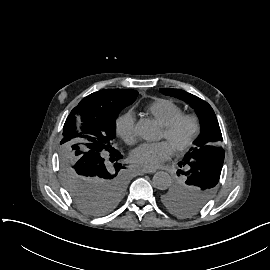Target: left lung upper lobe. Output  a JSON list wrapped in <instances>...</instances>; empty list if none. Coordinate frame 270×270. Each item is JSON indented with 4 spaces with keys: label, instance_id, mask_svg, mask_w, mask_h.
<instances>
[{
    "label": "left lung upper lobe",
    "instance_id": "left-lung-upper-lobe-1",
    "mask_svg": "<svg viewBox=\"0 0 270 270\" xmlns=\"http://www.w3.org/2000/svg\"><path fill=\"white\" fill-rule=\"evenodd\" d=\"M160 92L187 102L200 121V134L194 146L179 163L180 177L161 192L160 201L170 212L190 217L198 214L210 201L218 184L224 150L222 134L212 107L199 97L181 89L161 88Z\"/></svg>",
    "mask_w": 270,
    "mask_h": 270
}]
</instances>
